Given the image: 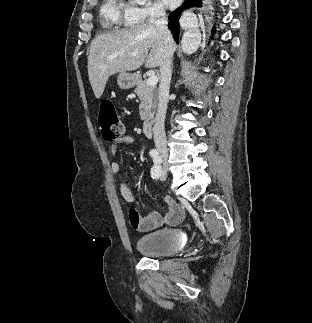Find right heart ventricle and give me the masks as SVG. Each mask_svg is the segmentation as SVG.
Returning <instances> with one entry per match:
<instances>
[{
    "label": "right heart ventricle",
    "instance_id": "obj_1",
    "mask_svg": "<svg viewBox=\"0 0 312 323\" xmlns=\"http://www.w3.org/2000/svg\"><path fill=\"white\" fill-rule=\"evenodd\" d=\"M117 0H104L97 9L98 20H114L116 25L125 23L124 16H129V9H123L122 5H114ZM115 12V13H114Z\"/></svg>",
    "mask_w": 312,
    "mask_h": 323
}]
</instances>
